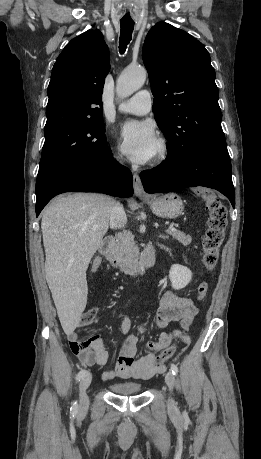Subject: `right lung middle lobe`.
<instances>
[{"instance_id":"1","label":"right lung middle lobe","mask_w":261,"mask_h":459,"mask_svg":"<svg viewBox=\"0 0 261 459\" xmlns=\"http://www.w3.org/2000/svg\"><path fill=\"white\" fill-rule=\"evenodd\" d=\"M104 133L102 120L65 124L45 130L36 184L68 166L108 161L110 150Z\"/></svg>"}]
</instances>
